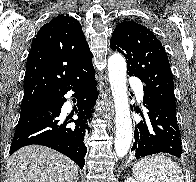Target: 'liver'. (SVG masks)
Returning a JSON list of instances; mask_svg holds the SVG:
<instances>
[{
	"mask_svg": "<svg viewBox=\"0 0 196 182\" xmlns=\"http://www.w3.org/2000/svg\"><path fill=\"white\" fill-rule=\"evenodd\" d=\"M9 182H78L77 165L44 146L29 145L8 160Z\"/></svg>",
	"mask_w": 196,
	"mask_h": 182,
	"instance_id": "6515ba94",
	"label": "liver"
}]
</instances>
